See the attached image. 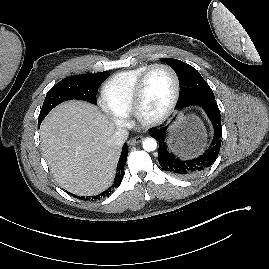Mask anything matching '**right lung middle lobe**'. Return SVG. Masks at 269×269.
<instances>
[{"instance_id":"right-lung-middle-lobe-1","label":"right lung middle lobe","mask_w":269,"mask_h":269,"mask_svg":"<svg viewBox=\"0 0 269 269\" xmlns=\"http://www.w3.org/2000/svg\"><path fill=\"white\" fill-rule=\"evenodd\" d=\"M108 75L109 72L105 71L70 76L61 80L48 91L38 117V124H41L42 120L55 106L66 100L79 99L96 104L98 88Z\"/></svg>"}]
</instances>
